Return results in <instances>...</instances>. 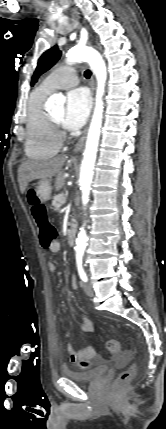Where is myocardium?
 <instances>
[{
	"label": "myocardium",
	"mask_w": 166,
	"mask_h": 429,
	"mask_svg": "<svg viewBox=\"0 0 166 429\" xmlns=\"http://www.w3.org/2000/svg\"><path fill=\"white\" fill-rule=\"evenodd\" d=\"M48 116H49L50 123H51V125H52V127H53V131H54V135H55L56 139H57L59 142H60V141H62V140H64V139H65V137H66V134H65V132L62 130L60 122H58V121L54 120V119L52 118V116H50V115H48Z\"/></svg>",
	"instance_id": "f54148a6"
}]
</instances>
